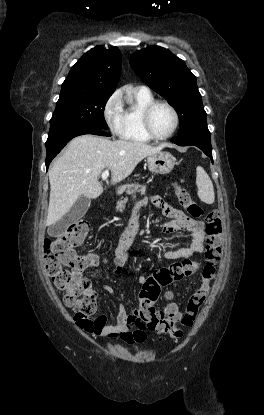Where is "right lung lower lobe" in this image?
<instances>
[{"label": "right lung lower lobe", "mask_w": 264, "mask_h": 415, "mask_svg": "<svg viewBox=\"0 0 264 415\" xmlns=\"http://www.w3.org/2000/svg\"><path fill=\"white\" fill-rule=\"evenodd\" d=\"M84 134H93V135H100V136H110V134L97 130V129H85L81 131L74 132L68 136H65L58 141L47 145V156H46V168L48 169L49 164L53 160V158L63 149V147L74 137Z\"/></svg>", "instance_id": "obj_1"}]
</instances>
